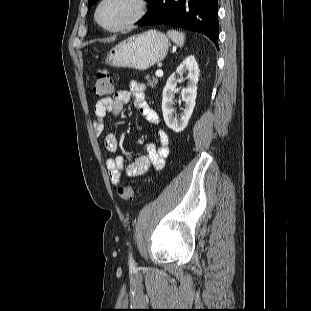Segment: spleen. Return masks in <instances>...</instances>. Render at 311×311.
<instances>
[{"label": "spleen", "mask_w": 311, "mask_h": 311, "mask_svg": "<svg viewBox=\"0 0 311 311\" xmlns=\"http://www.w3.org/2000/svg\"><path fill=\"white\" fill-rule=\"evenodd\" d=\"M168 37L178 46L182 47L185 42V35L182 32L176 30H169L167 32Z\"/></svg>", "instance_id": "spleen-1"}]
</instances>
